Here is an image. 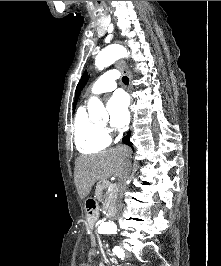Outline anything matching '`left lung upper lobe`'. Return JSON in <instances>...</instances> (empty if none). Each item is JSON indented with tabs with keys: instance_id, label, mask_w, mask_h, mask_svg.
I'll list each match as a JSON object with an SVG mask.
<instances>
[{
	"instance_id": "1",
	"label": "left lung upper lobe",
	"mask_w": 221,
	"mask_h": 266,
	"mask_svg": "<svg viewBox=\"0 0 221 266\" xmlns=\"http://www.w3.org/2000/svg\"><path fill=\"white\" fill-rule=\"evenodd\" d=\"M87 81H88V76H87V72H85V73L82 75V77H81V79H80V81H79V83H78V85H77V87H76V94H75L74 108H75V106H76V101H77V99H78V97H79V95H80V93H81L83 87H84L85 84L87 83Z\"/></svg>"
}]
</instances>
